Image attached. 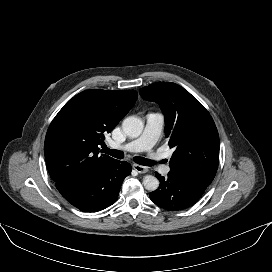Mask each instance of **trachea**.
Masks as SVG:
<instances>
[{"label":"trachea","mask_w":272,"mask_h":272,"mask_svg":"<svg viewBox=\"0 0 272 272\" xmlns=\"http://www.w3.org/2000/svg\"><path fill=\"white\" fill-rule=\"evenodd\" d=\"M102 152L109 154L110 156L115 157L117 159L124 158V153L122 151L112 150V149H109L107 146H103ZM134 161L136 163H138L140 165H144V166H153L154 165L153 161L143 158V157H139V156L134 157Z\"/></svg>","instance_id":"obj_1"}]
</instances>
